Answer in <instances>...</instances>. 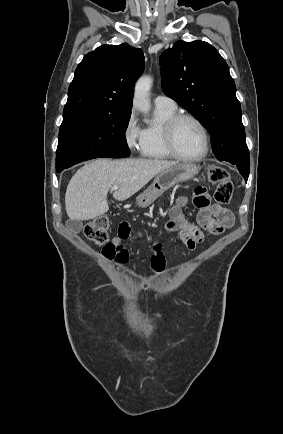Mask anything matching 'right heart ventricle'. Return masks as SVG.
<instances>
[{"label":"right heart ventricle","mask_w":283,"mask_h":434,"mask_svg":"<svg viewBox=\"0 0 283 434\" xmlns=\"http://www.w3.org/2000/svg\"><path fill=\"white\" fill-rule=\"evenodd\" d=\"M174 114H176V108H155L154 122L143 129V138L140 147L142 156L155 160L172 158L164 142L163 129L165 123Z\"/></svg>","instance_id":"1"}]
</instances>
